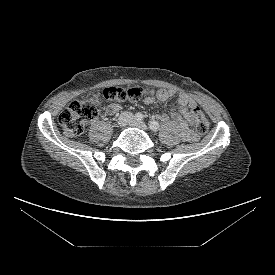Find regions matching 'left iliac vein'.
<instances>
[{
	"mask_svg": "<svg viewBox=\"0 0 275 275\" xmlns=\"http://www.w3.org/2000/svg\"><path fill=\"white\" fill-rule=\"evenodd\" d=\"M131 125L134 126V127L140 128L142 130H145V131L148 129L147 125L144 122L134 121V122L131 123Z\"/></svg>",
	"mask_w": 275,
	"mask_h": 275,
	"instance_id": "1",
	"label": "left iliac vein"
}]
</instances>
